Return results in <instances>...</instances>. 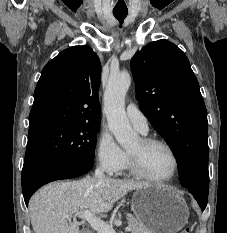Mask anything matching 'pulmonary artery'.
Returning a JSON list of instances; mask_svg holds the SVG:
<instances>
[{
  "instance_id": "pulmonary-artery-1",
  "label": "pulmonary artery",
  "mask_w": 227,
  "mask_h": 233,
  "mask_svg": "<svg viewBox=\"0 0 227 233\" xmlns=\"http://www.w3.org/2000/svg\"><path fill=\"white\" fill-rule=\"evenodd\" d=\"M126 114L131 124L142 134L149 131L148 120L142 111L134 104L127 105Z\"/></svg>"
}]
</instances>
